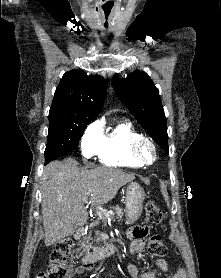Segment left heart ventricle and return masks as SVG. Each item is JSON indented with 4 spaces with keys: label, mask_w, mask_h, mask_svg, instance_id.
I'll return each mask as SVG.
<instances>
[{
    "label": "left heart ventricle",
    "mask_w": 221,
    "mask_h": 278,
    "mask_svg": "<svg viewBox=\"0 0 221 278\" xmlns=\"http://www.w3.org/2000/svg\"><path fill=\"white\" fill-rule=\"evenodd\" d=\"M141 152H142V155L146 158V159H152L153 157V150L152 148L147 145V144H144L141 148Z\"/></svg>",
    "instance_id": "1"
}]
</instances>
